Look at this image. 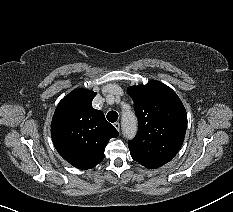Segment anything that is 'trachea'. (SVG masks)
Returning <instances> with one entry per match:
<instances>
[{"instance_id":"1","label":"trachea","mask_w":233,"mask_h":212,"mask_svg":"<svg viewBox=\"0 0 233 212\" xmlns=\"http://www.w3.org/2000/svg\"><path fill=\"white\" fill-rule=\"evenodd\" d=\"M107 120L109 122H115L118 119V113L116 111H110L107 113Z\"/></svg>"}]
</instances>
